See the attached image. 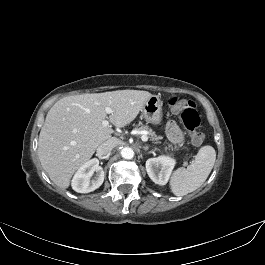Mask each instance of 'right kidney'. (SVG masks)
<instances>
[{"label":"right kidney","instance_id":"ca27d5eb","mask_svg":"<svg viewBox=\"0 0 265 265\" xmlns=\"http://www.w3.org/2000/svg\"><path fill=\"white\" fill-rule=\"evenodd\" d=\"M95 173V175H94ZM94 175L93 179L91 177ZM104 181V170L98 159L83 164L72 179V188L78 193H89L99 188Z\"/></svg>","mask_w":265,"mask_h":265}]
</instances>
